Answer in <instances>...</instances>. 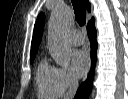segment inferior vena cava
Wrapping results in <instances>:
<instances>
[{"instance_id": "1", "label": "inferior vena cava", "mask_w": 128, "mask_h": 99, "mask_svg": "<svg viewBox=\"0 0 128 99\" xmlns=\"http://www.w3.org/2000/svg\"><path fill=\"white\" fill-rule=\"evenodd\" d=\"M78 89V80L76 78L71 79L70 87L66 93L64 99H73Z\"/></svg>"}]
</instances>
